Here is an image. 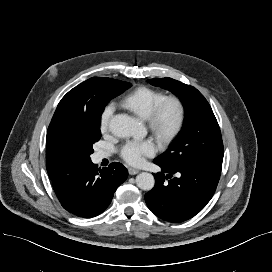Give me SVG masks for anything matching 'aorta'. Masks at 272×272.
Segmentation results:
<instances>
[{"mask_svg":"<svg viewBox=\"0 0 272 272\" xmlns=\"http://www.w3.org/2000/svg\"><path fill=\"white\" fill-rule=\"evenodd\" d=\"M110 131L118 137H130L138 132L137 121L127 114L114 115L109 122ZM137 186L149 191L154 187V176L147 172H142L136 177Z\"/></svg>","mask_w":272,"mask_h":272,"instance_id":"aorta-1","label":"aorta"}]
</instances>
